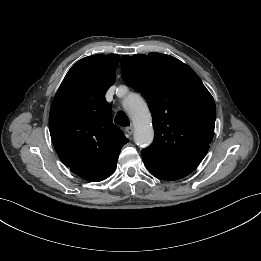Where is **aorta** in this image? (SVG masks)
<instances>
[{"label": "aorta", "mask_w": 261, "mask_h": 261, "mask_svg": "<svg viewBox=\"0 0 261 261\" xmlns=\"http://www.w3.org/2000/svg\"><path fill=\"white\" fill-rule=\"evenodd\" d=\"M123 106L134 125V141L139 146H148L153 142L154 129L146 102L138 94L131 93L123 100Z\"/></svg>", "instance_id": "1"}]
</instances>
